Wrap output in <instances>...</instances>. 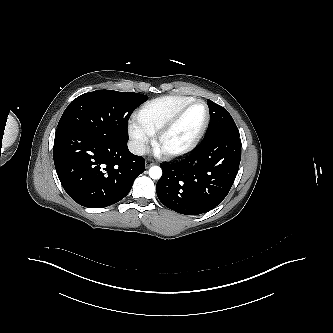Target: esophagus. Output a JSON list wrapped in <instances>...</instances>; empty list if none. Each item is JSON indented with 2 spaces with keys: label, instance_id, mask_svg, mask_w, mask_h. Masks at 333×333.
Listing matches in <instances>:
<instances>
[{
  "label": "esophagus",
  "instance_id": "esophagus-1",
  "mask_svg": "<svg viewBox=\"0 0 333 333\" xmlns=\"http://www.w3.org/2000/svg\"><path fill=\"white\" fill-rule=\"evenodd\" d=\"M154 165V163L152 162V161H150V160H147L146 162H145V168H150L151 166H153Z\"/></svg>",
  "mask_w": 333,
  "mask_h": 333
}]
</instances>
